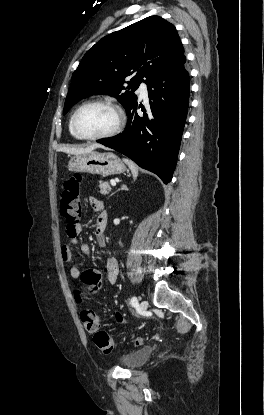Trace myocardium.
Segmentation results:
<instances>
[{
	"label": "myocardium",
	"mask_w": 264,
	"mask_h": 415,
	"mask_svg": "<svg viewBox=\"0 0 264 415\" xmlns=\"http://www.w3.org/2000/svg\"><path fill=\"white\" fill-rule=\"evenodd\" d=\"M92 105H103L111 108L116 113V124L114 128L106 133L99 134V135H85L82 132L79 131L77 128V117L79 113L86 107L92 106ZM125 124V116L122 108L116 104L115 102L108 100V99H97L88 101L86 103H83L81 106H79L75 112L72 115L71 119V126L74 134L79 137L80 139L84 140H102V139H108L111 137L116 136L118 133L121 132Z\"/></svg>",
	"instance_id": "1"
}]
</instances>
